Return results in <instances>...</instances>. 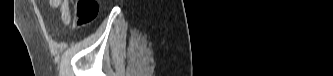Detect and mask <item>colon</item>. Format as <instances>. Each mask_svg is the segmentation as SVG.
I'll return each instance as SVG.
<instances>
[{
  "instance_id": "obj_1",
  "label": "colon",
  "mask_w": 333,
  "mask_h": 76,
  "mask_svg": "<svg viewBox=\"0 0 333 76\" xmlns=\"http://www.w3.org/2000/svg\"><path fill=\"white\" fill-rule=\"evenodd\" d=\"M99 13V5L96 0H79L76 8V24L84 27L91 24Z\"/></svg>"
}]
</instances>
